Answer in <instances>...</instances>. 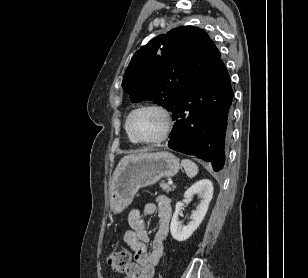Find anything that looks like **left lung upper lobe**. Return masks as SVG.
Instances as JSON below:
<instances>
[{
    "instance_id": "obj_1",
    "label": "left lung upper lobe",
    "mask_w": 308,
    "mask_h": 278,
    "mask_svg": "<svg viewBox=\"0 0 308 278\" xmlns=\"http://www.w3.org/2000/svg\"><path fill=\"white\" fill-rule=\"evenodd\" d=\"M208 34L182 26L161 34L132 57L122 87L133 103L153 100L172 111L189 87L219 60Z\"/></svg>"
}]
</instances>
